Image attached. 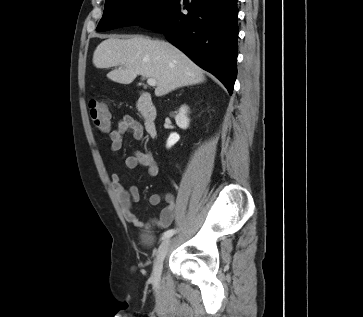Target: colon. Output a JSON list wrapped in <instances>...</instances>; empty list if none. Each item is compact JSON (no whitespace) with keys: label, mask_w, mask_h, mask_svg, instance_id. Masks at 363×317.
I'll return each mask as SVG.
<instances>
[{"label":"colon","mask_w":363,"mask_h":317,"mask_svg":"<svg viewBox=\"0 0 363 317\" xmlns=\"http://www.w3.org/2000/svg\"><path fill=\"white\" fill-rule=\"evenodd\" d=\"M90 118L93 124L102 131H106L110 125V115L107 106L95 99L88 104Z\"/></svg>","instance_id":"5ec220e1"}]
</instances>
